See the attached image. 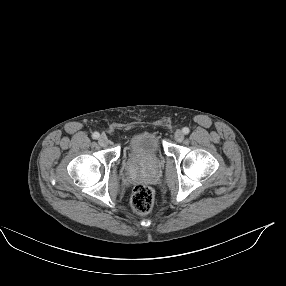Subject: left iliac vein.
Instances as JSON below:
<instances>
[{
	"instance_id": "obj_1",
	"label": "left iliac vein",
	"mask_w": 286,
	"mask_h": 286,
	"mask_svg": "<svg viewBox=\"0 0 286 286\" xmlns=\"http://www.w3.org/2000/svg\"><path fill=\"white\" fill-rule=\"evenodd\" d=\"M174 140L176 142H182L184 140V133L181 130L175 131Z\"/></svg>"
}]
</instances>
